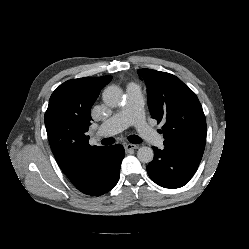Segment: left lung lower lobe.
Masks as SVG:
<instances>
[{
    "instance_id": "left-lung-lower-lobe-1",
    "label": "left lung lower lobe",
    "mask_w": 249,
    "mask_h": 249,
    "mask_svg": "<svg viewBox=\"0 0 249 249\" xmlns=\"http://www.w3.org/2000/svg\"><path fill=\"white\" fill-rule=\"evenodd\" d=\"M152 148L154 159L147 166V172L155 183L165 188L184 186L192 178L200 163L169 147Z\"/></svg>"
}]
</instances>
